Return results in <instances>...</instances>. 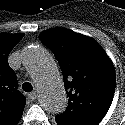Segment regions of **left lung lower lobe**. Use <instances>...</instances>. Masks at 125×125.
<instances>
[{"label": "left lung lower lobe", "instance_id": "left-lung-lower-lobe-1", "mask_svg": "<svg viewBox=\"0 0 125 125\" xmlns=\"http://www.w3.org/2000/svg\"><path fill=\"white\" fill-rule=\"evenodd\" d=\"M56 120V119H55ZM56 123L58 124V125H68V124H64V123H62V122H60V121H58V120H56Z\"/></svg>", "mask_w": 125, "mask_h": 125}]
</instances>
